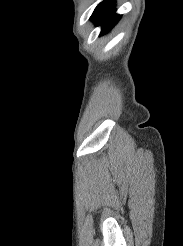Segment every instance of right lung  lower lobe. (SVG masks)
<instances>
[{"mask_svg": "<svg viewBox=\"0 0 183 246\" xmlns=\"http://www.w3.org/2000/svg\"><path fill=\"white\" fill-rule=\"evenodd\" d=\"M120 17L121 15L115 13V0H105L96 7L91 20L94 21L96 26H102L100 35H104L111 30Z\"/></svg>", "mask_w": 183, "mask_h": 246, "instance_id": "right-lung-lower-lobe-1", "label": "right lung lower lobe"}]
</instances>
